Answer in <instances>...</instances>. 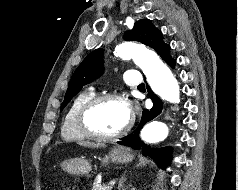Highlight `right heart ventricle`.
<instances>
[{
  "instance_id": "1",
  "label": "right heart ventricle",
  "mask_w": 238,
  "mask_h": 190,
  "mask_svg": "<svg viewBox=\"0 0 238 190\" xmlns=\"http://www.w3.org/2000/svg\"><path fill=\"white\" fill-rule=\"evenodd\" d=\"M95 96L93 90L77 95L69 106L61 127V136L65 141H84L87 139L78 128L77 116L82 106Z\"/></svg>"
}]
</instances>
